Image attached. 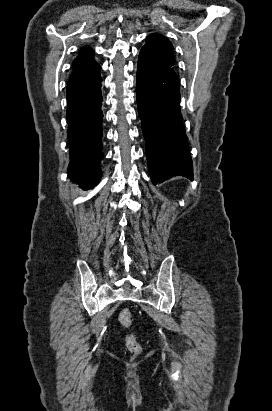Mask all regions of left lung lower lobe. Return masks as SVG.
<instances>
[{
  "instance_id": "0a47b994",
  "label": "left lung lower lobe",
  "mask_w": 272,
  "mask_h": 411,
  "mask_svg": "<svg viewBox=\"0 0 272 411\" xmlns=\"http://www.w3.org/2000/svg\"><path fill=\"white\" fill-rule=\"evenodd\" d=\"M136 98L153 184L177 175L192 180V159L180 111L179 77L143 49L138 58Z\"/></svg>"
}]
</instances>
